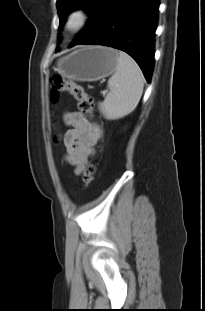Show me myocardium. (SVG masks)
<instances>
[{
  "mask_svg": "<svg viewBox=\"0 0 205 311\" xmlns=\"http://www.w3.org/2000/svg\"><path fill=\"white\" fill-rule=\"evenodd\" d=\"M90 15L84 8L72 9L66 18L65 29L71 33H76L83 30L88 22Z\"/></svg>",
  "mask_w": 205,
  "mask_h": 311,
  "instance_id": "1",
  "label": "myocardium"
}]
</instances>
